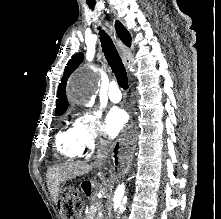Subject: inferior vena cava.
Masks as SVG:
<instances>
[{
	"label": "inferior vena cava",
	"instance_id": "inferior-vena-cava-1",
	"mask_svg": "<svg viewBox=\"0 0 221 219\" xmlns=\"http://www.w3.org/2000/svg\"><path fill=\"white\" fill-rule=\"evenodd\" d=\"M110 150H111V146L108 142H103L100 145V147L97 151L95 162H94V165L96 167L101 168V166L103 165L104 161L106 160Z\"/></svg>",
	"mask_w": 221,
	"mask_h": 219
}]
</instances>
